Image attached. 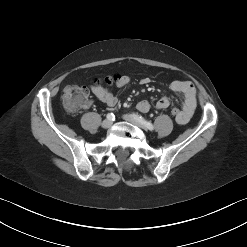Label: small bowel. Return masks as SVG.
<instances>
[{"label":"small bowel","mask_w":247,"mask_h":247,"mask_svg":"<svg viewBox=\"0 0 247 247\" xmlns=\"http://www.w3.org/2000/svg\"><path fill=\"white\" fill-rule=\"evenodd\" d=\"M130 79L127 76H122L118 81V85L123 87L128 85ZM151 82L150 78L144 77L141 79L140 83L143 85L149 84ZM169 88L174 93L178 94L182 98V108L180 110V115L176 119V122L180 125H185L191 119L197 104L196 99V89L194 85L189 81L174 80L170 83ZM92 93L95 97L107 105L108 107H114L117 104L116 97L99 85H92L90 87ZM170 106V100L167 97H161L157 100L155 107L159 110L167 109ZM138 111L142 113H147L151 105L147 100H140L136 104Z\"/></svg>","instance_id":"c3829d8e"}]
</instances>
